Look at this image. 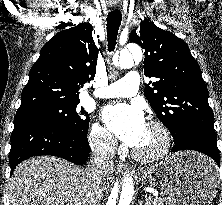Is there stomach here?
Masks as SVG:
<instances>
[{"instance_id": "0dacf381", "label": "stomach", "mask_w": 222, "mask_h": 205, "mask_svg": "<svg viewBox=\"0 0 222 205\" xmlns=\"http://www.w3.org/2000/svg\"><path fill=\"white\" fill-rule=\"evenodd\" d=\"M142 180L159 188L167 205H209L218 187L213 162L195 152L167 156L148 168Z\"/></svg>"}]
</instances>
